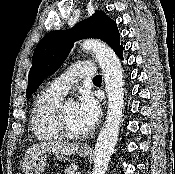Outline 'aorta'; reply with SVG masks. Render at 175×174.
<instances>
[{
  "instance_id": "aorta-1",
  "label": "aorta",
  "mask_w": 175,
  "mask_h": 174,
  "mask_svg": "<svg viewBox=\"0 0 175 174\" xmlns=\"http://www.w3.org/2000/svg\"><path fill=\"white\" fill-rule=\"evenodd\" d=\"M83 50H91L103 71L108 97V109L94 152L93 174H105L111 154L117 143L124 110L123 69L114 51L97 39L82 42Z\"/></svg>"
}]
</instances>
